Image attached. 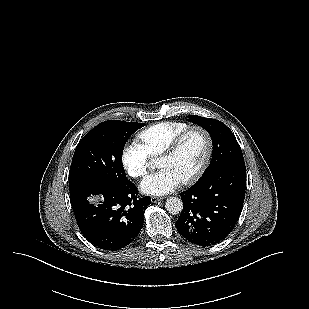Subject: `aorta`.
Returning <instances> with one entry per match:
<instances>
[{"label": "aorta", "mask_w": 309, "mask_h": 309, "mask_svg": "<svg viewBox=\"0 0 309 309\" xmlns=\"http://www.w3.org/2000/svg\"><path fill=\"white\" fill-rule=\"evenodd\" d=\"M165 208L170 214L176 215L182 211L183 203L179 198L170 197L166 200Z\"/></svg>", "instance_id": "1"}]
</instances>
